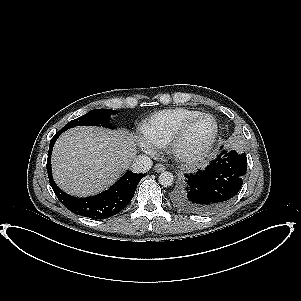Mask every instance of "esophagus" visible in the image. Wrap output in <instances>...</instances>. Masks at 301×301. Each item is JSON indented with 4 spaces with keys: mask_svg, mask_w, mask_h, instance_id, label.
I'll return each instance as SVG.
<instances>
[{
    "mask_svg": "<svg viewBox=\"0 0 301 301\" xmlns=\"http://www.w3.org/2000/svg\"><path fill=\"white\" fill-rule=\"evenodd\" d=\"M154 170H155L156 172L164 171V170H165V166H164L163 164H161V163H157V164H155V166H154Z\"/></svg>",
    "mask_w": 301,
    "mask_h": 301,
    "instance_id": "34e87169",
    "label": "esophagus"
}]
</instances>
